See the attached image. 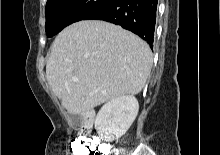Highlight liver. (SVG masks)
Listing matches in <instances>:
<instances>
[{
	"label": "liver",
	"mask_w": 220,
	"mask_h": 155,
	"mask_svg": "<svg viewBox=\"0 0 220 155\" xmlns=\"http://www.w3.org/2000/svg\"><path fill=\"white\" fill-rule=\"evenodd\" d=\"M151 66L152 52L141 38L108 22L84 20L55 38L46 77L62 106L77 115L140 93Z\"/></svg>",
	"instance_id": "6515ba94"
}]
</instances>
